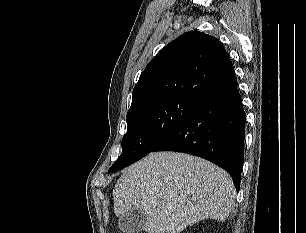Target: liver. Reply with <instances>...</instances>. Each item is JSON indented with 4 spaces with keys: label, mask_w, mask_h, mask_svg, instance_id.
<instances>
[{
    "label": "liver",
    "mask_w": 306,
    "mask_h": 233,
    "mask_svg": "<svg viewBox=\"0 0 306 233\" xmlns=\"http://www.w3.org/2000/svg\"><path fill=\"white\" fill-rule=\"evenodd\" d=\"M229 174L184 153L158 152L128 167L113 190L114 213L131 207L146 214L148 233H180L201 220L225 221L234 205Z\"/></svg>",
    "instance_id": "liver-1"
}]
</instances>
